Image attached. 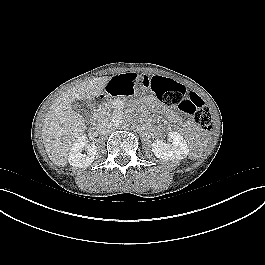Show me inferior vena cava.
I'll list each match as a JSON object with an SVG mask.
<instances>
[{"mask_svg": "<svg viewBox=\"0 0 265 265\" xmlns=\"http://www.w3.org/2000/svg\"><path fill=\"white\" fill-rule=\"evenodd\" d=\"M112 122L108 119H103L99 122L97 125V130L100 134L106 135L109 134L112 131Z\"/></svg>", "mask_w": 265, "mask_h": 265, "instance_id": "inferior-vena-cava-1", "label": "inferior vena cava"}]
</instances>
